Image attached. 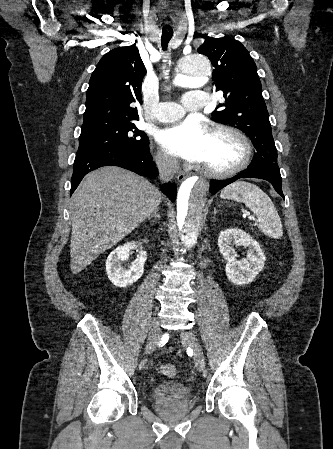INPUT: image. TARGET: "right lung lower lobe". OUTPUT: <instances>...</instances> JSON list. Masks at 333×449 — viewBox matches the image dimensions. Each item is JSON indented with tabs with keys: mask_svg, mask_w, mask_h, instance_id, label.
I'll return each mask as SVG.
<instances>
[{
	"mask_svg": "<svg viewBox=\"0 0 333 449\" xmlns=\"http://www.w3.org/2000/svg\"><path fill=\"white\" fill-rule=\"evenodd\" d=\"M115 165L139 175L156 176L157 168L152 161L149 152V146L139 152L124 151L118 149H86L78 150L71 180L70 195L77 188L82 178L92 170L102 166ZM161 190L171 201L176 197V186L174 184H165Z\"/></svg>",
	"mask_w": 333,
	"mask_h": 449,
	"instance_id": "obj_1",
	"label": "right lung lower lobe"
}]
</instances>
